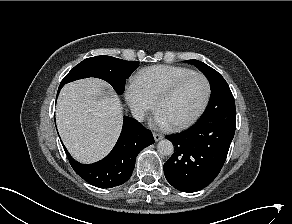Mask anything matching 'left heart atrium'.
Instances as JSON below:
<instances>
[{
	"label": "left heart atrium",
	"instance_id": "obj_1",
	"mask_svg": "<svg viewBox=\"0 0 292 224\" xmlns=\"http://www.w3.org/2000/svg\"><path fill=\"white\" fill-rule=\"evenodd\" d=\"M153 124L154 126L159 127V128H167L170 126L167 119L160 112L156 113L153 120Z\"/></svg>",
	"mask_w": 292,
	"mask_h": 224
}]
</instances>
